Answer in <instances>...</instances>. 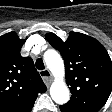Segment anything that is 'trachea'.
<instances>
[{"label": "trachea", "instance_id": "obj_1", "mask_svg": "<svg viewBox=\"0 0 112 112\" xmlns=\"http://www.w3.org/2000/svg\"><path fill=\"white\" fill-rule=\"evenodd\" d=\"M35 65H36V68L38 70L45 69V66H44V63H43V60L42 59H37Z\"/></svg>", "mask_w": 112, "mask_h": 112}]
</instances>
